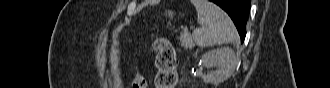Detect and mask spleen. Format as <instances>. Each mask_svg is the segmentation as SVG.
I'll list each match as a JSON object with an SVG mask.
<instances>
[{"label":"spleen","instance_id":"spleen-1","mask_svg":"<svg viewBox=\"0 0 330 88\" xmlns=\"http://www.w3.org/2000/svg\"><path fill=\"white\" fill-rule=\"evenodd\" d=\"M201 27L193 31V39L200 47L235 43L238 33L230 17L216 4L208 0H192Z\"/></svg>","mask_w":330,"mask_h":88}]
</instances>
